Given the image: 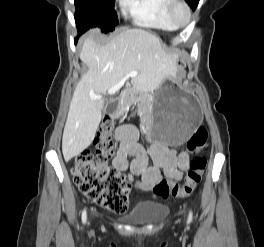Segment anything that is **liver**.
<instances>
[{"mask_svg": "<svg viewBox=\"0 0 264 247\" xmlns=\"http://www.w3.org/2000/svg\"><path fill=\"white\" fill-rule=\"evenodd\" d=\"M98 29H92L79 53L88 67L74 91L62 138L66 162L84 151L94 140L102 117L104 99L91 100L90 95H105L109 88L136 73L133 85L138 91L151 92L171 77L175 60L167 54L156 35L144 29H128L105 46L95 40Z\"/></svg>", "mask_w": 264, "mask_h": 247, "instance_id": "liver-1", "label": "liver"}]
</instances>
